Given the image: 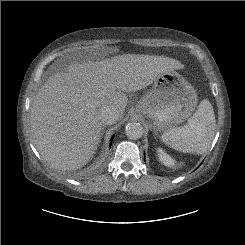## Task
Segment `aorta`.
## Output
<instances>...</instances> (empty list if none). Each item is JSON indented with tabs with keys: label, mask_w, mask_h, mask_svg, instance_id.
Wrapping results in <instances>:
<instances>
[{
	"label": "aorta",
	"mask_w": 245,
	"mask_h": 245,
	"mask_svg": "<svg viewBox=\"0 0 245 245\" xmlns=\"http://www.w3.org/2000/svg\"><path fill=\"white\" fill-rule=\"evenodd\" d=\"M143 126L140 123L131 122L126 125L125 134L129 139L136 140L143 135Z\"/></svg>",
	"instance_id": "obj_1"
}]
</instances>
